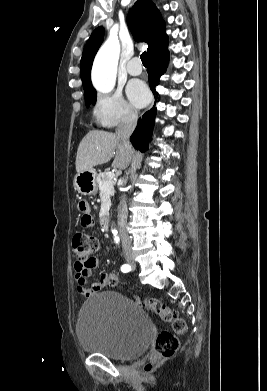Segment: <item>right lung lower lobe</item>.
<instances>
[{"mask_svg":"<svg viewBox=\"0 0 267 391\" xmlns=\"http://www.w3.org/2000/svg\"><path fill=\"white\" fill-rule=\"evenodd\" d=\"M168 60L169 51L167 49V46L156 54L149 57V68L147 70L149 75L148 80L150 89L156 96L155 102L157 101L158 96L155 87L159 84V77L166 71ZM155 116L156 108H152L147 111L141 118H139L137 127L130 137V141L136 149L140 151L146 150L148 141L152 134Z\"/></svg>","mask_w":267,"mask_h":391,"instance_id":"obj_1","label":"right lung lower lobe"}]
</instances>
